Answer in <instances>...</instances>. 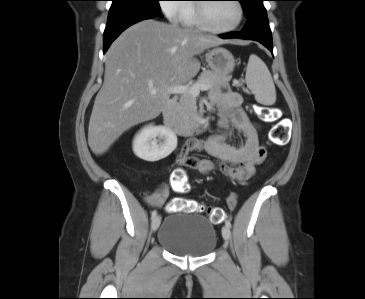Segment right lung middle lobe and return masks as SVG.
<instances>
[{
  "label": "right lung middle lobe",
  "instance_id": "1",
  "mask_svg": "<svg viewBox=\"0 0 365 299\" xmlns=\"http://www.w3.org/2000/svg\"><path fill=\"white\" fill-rule=\"evenodd\" d=\"M112 5L108 17L129 11H161L159 0H111Z\"/></svg>",
  "mask_w": 365,
  "mask_h": 299
}]
</instances>
